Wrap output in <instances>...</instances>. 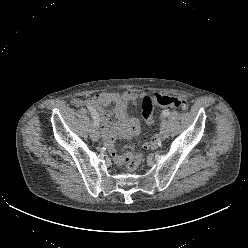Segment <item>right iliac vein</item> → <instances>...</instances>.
Returning a JSON list of instances; mask_svg holds the SVG:
<instances>
[{
  "label": "right iliac vein",
  "mask_w": 248,
  "mask_h": 248,
  "mask_svg": "<svg viewBox=\"0 0 248 248\" xmlns=\"http://www.w3.org/2000/svg\"><path fill=\"white\" fill-rule=\"evenodd\" d=\"M90 137L94 141H98L99 140L100 133H99V130H98V126L95 125V124H93V126L90 129Z\"/></svg>",
  "instance_id": "right-iliac-vein-1"
}]
</instances>
